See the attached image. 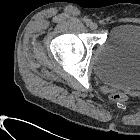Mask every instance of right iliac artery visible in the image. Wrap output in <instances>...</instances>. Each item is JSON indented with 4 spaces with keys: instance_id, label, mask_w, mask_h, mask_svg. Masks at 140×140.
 <instances>
[{
    "instance_id": "82829eb1",
    "label": "right iliac artery",
    "mask_w": 140,
    "mask_h": 140,
    "mask_svg": "<svg viewBox=\"0 0 140 140\" xmlns=\"http://www.w3.org/2000/svg\"><path fill=\"white\" fill-rule=\"evenodd\" d=\"M85 22L87 26H90L92 24V21L90 19H86Z\"/></svg>"
}]
</instances>
